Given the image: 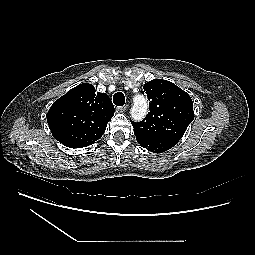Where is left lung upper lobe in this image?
Instances as JSON below:
<instances>
[{"instance_id": "obj_1", "label": "left lung upper lobe", "mask_w": 255, "mask_h": 255, "mask_svg": "<svg viewBox=\"0 0 255 255\" xmlns=\"http://www.w3.org/2000/svg\"><path fill=\"white\" fill-rule=\"evenodd\" d=\"M143 89L150 101V112L141 122L131 121L136 139L179 141L194 119L191 97L172 82L162 79L147 82Z\"/></svg>"}]
</instances>
